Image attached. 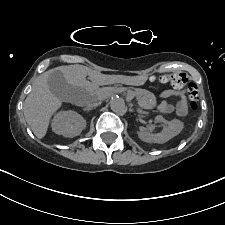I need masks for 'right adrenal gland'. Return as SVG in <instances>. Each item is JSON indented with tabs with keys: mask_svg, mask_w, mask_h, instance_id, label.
<instances>
[{
	"mask_svg": "<svg viewBox=\"0 0 225 225\" xmlns=\"http://www.w3.org/2000/svg\"><path fill=\"white\" fill-rule=\"evenodd\" d=\"M84 110H85V111H90V110H92V108L86 107Z\"/></svg>",
	"mask_w": 225,
	"mask_h": 225,
	"instance_id": "1",
	"label": "right adrenal gland"
}]
</instances>
